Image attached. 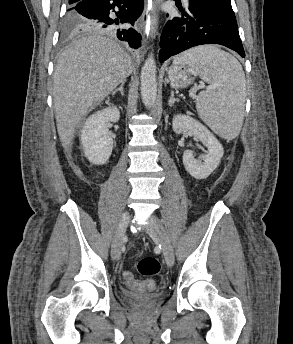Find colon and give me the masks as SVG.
Wrapping results in <instances>:
<instances>
[{
	"mask_svg": "<svg viewBox=\"0 0 293 344\" xmlns=\"http://www.w3.org/2000/svg\"><path fill=\"white\" fill-rule=\"evenodd\" d=\"M161 270V264L158 259L154 257H146L139 261L138 271L141 275L146 277H152L157 275ZM124 278L128 286L139 287L141 286L143 290H150L155 288L156 284L153 280L149 279L143 283H138L133 275L126 271L124 273Z\"/></svg>",
	"mask_w": 293,
	"mask_h": 344,
	"instance_id": "colon-1",
	"label": "colon"
}]
</instances>
